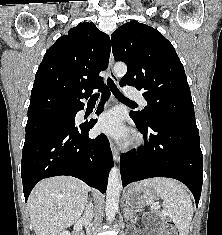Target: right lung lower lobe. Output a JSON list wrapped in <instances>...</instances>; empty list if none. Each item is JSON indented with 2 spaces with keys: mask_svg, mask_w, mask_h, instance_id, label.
I'll return each instance as SVG.
<instances>
[{
  "mask_svg": "<svg viewBox=\"0 0 222 235\" xmlns=\"http://www.w3.org/2000/svg\"><path fill=\"white\" fill-rule=\"evenodd\" d=\"M100 91L102 99L109 96L106 85ZM86 95L60 106L53 114L67 122L66 127H55L26 137L21 163V176L25 201L40 180L59 175H70L106 192L109 170L113 165L110 144L102 133L91 139L89 130L97 123L91 119L75 123L76 113L83 109L80 100ZM103 110L98 105L96 113Z\"/></svg>",
  "mask_w": 222,
  "mask_h": 235,
  "instance_id": "obj_1",
  "label": "right lung lower lobe"
}]
</instances>
